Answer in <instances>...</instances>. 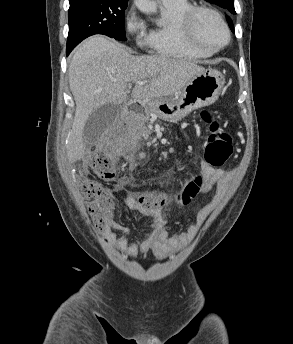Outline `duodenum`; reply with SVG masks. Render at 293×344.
<instances>
[{
	"label": "duodenum",
	"instance_id": "obj_1",
	"mask_svg": "<svg viewBox=\"0 0 293 344\" xmlns=\"http://www.w3.org/2000/svg\"><path fill=\"white\" fill-rule=\"evenodd\" d=\"M137 111H138V112H141V111H142V107L139 106V107L137 108ZM132 114H135V113H134V110L131 108L130 105H128V106L125 108V116H124V118H123L122 124H124V123L126 122V120H127V117L130 116V115H132Z\"/></svg>",
	"mask_w": 293,
	"mask_h": 344
}]
</instances>
